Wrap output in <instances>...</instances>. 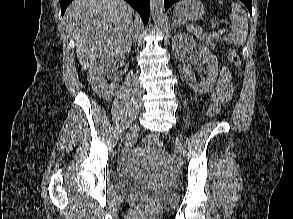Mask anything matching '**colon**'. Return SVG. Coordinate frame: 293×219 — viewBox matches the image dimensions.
<instances>
[{
  "label": "colon",
  "mask_w": 293,
  "mask_h": 219,
  "mask_svg": "<svg viewBox=\"0 0 293 219\" xmlns=\"http://www.w3.org/2000/svg\"><path fill=\"white\" fill-rule=\"evenodd\" d=\"M228 58L234 67H239L241 65V60H240V57H239L236 50H231L229 52ZM220 108H221V105L219 102L213 103L209 108L208 115L210 117L215 116L218 113V111L220 110ZM160 144H161V139L158 134L152 133V134L147 135L143 139V146L144 147H150V146L160 145Z\"/></svg>",
  "instance_id": "1"
}]
</instances>
